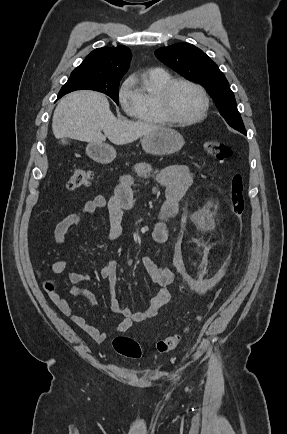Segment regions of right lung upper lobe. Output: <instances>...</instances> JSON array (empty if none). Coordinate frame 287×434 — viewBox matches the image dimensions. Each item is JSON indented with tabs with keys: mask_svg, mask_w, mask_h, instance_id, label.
Segmentation results:
<instances>
[{
	"mask_svg": "<svg viewBox=\"0 0 287 434\" xmlns=\"http://www.w3.org/2000/svg\"><path fill=\"white\" fill-rule=\"evenodd\" d=\"M131 57L130 49L124 45L98 48L92 51L72 73L119 79L128 70Z\"/></svg>",
	"mask_w": 287,
	"mask_h": 434,
	"instance_id": "1",
	"label": "right lung upper lobe"
}]
</instances>
